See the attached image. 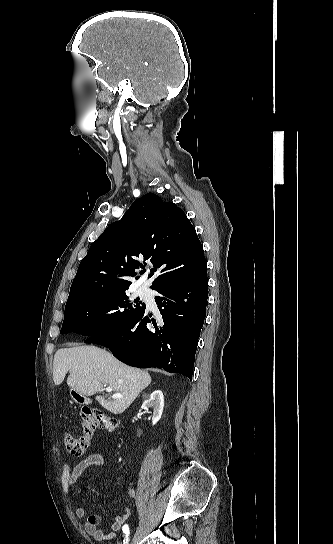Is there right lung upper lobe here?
I'll return each instance as SVG.
<instances>
[{
    "label": "right lung upper lobe",
    "instance_id": "obj_1",
    "mask_svg": "<svg viewBox=\"0 0 333 544\" xmlns=\"http://www.w3.org/2000/svg\"><path fill=\"white\" fill-rule=\"evenodd\" d=\"M146 260L156 274L152 289L206 266L203 247L183 210L153 193L137 199L120 221L110 224L93 242L80 262L67 302L127 290Z\"/></svg>",
    "mask_w": 333,
    "mask_h": 544
}]
</instances>
